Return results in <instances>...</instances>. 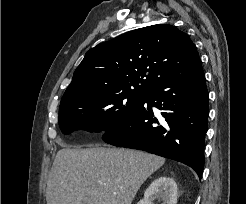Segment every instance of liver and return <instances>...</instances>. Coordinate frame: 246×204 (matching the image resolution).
I'll return each instance as SVG.
<instances>
[{
    "instance_id": "6515ba94",
    "label": "liver",
    "mask_w": 246,
    "mask_h": 204,
    "mask_svg": "<svg viewBox=\"0 0 246 204\" xmlns=\"http://www.w3.org/2000/svg\"><path fill=\"white\" fill-rule=\"evenodd\" d=\"M164 163L163 157L130 149L63 148L49 172L47 204H131Z\"/></svg>"
}]
</instances>
